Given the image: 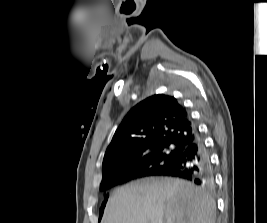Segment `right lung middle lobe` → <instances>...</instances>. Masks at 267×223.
I'll list each match as a JSON object with an SVG mask.
<instances>
[{
	"label": "right lung middle lobe",
	"instance_id": "dd1d6c3e",
	"mask_svg": "<svg viewBox=\"0 0 267 223\" xmlns=\"http://www.w3.org/2000/svg\"><path fill=\"white\" fill-rule=\"evenodd\" d=\"M181 151L177 147L165 146L159 151L147 155L143 160L136 163L137 171L146 174H155L170 167L179 157ZM104 184H102L103 186ZM102 186L100 188L102 189ZM108 194L105 195V201L102 204L100 215L108 199Z\"/></svg>",
	"mask_w": 267,
	"mask_h": 223
}]
</instances>
